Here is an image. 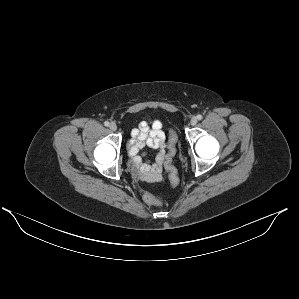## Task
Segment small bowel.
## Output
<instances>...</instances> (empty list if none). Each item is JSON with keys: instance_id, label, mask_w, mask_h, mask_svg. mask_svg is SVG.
Returning a JSON list of instances; mask_svg holds the SVG:
<instances>
[{"instance_id": "obj_1", "label": "small bowel", "mask_w": 299, "mask_h": 299, "mask_svg": "<svg viewBox=\"0 0 299 299\" xmlns=\"http://www.w3.org/2000/svg\"><path fill=\"white\" fill-rule=\"evenodd\" d=\"M129 143V155L135 175L142 181L157 182L164 175L165 132L163 124L156 120L151 124L141 122L133 129ZM156 149L154 162H144L140 151L145 147Z\"/></svg>"}]
</instances>
